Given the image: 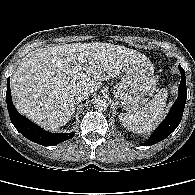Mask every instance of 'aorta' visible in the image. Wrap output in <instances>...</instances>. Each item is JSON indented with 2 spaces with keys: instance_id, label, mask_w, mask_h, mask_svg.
Returning a JSON list of instances; mask_svg holds the SVG:
<instances>
[{
  "instance_id": "1",
  "label": "aorta",
  "mask_w": 195,
  "mask_h": 195,
  "mask_svg": "<svg viewBox=\"0 0 195 195\" xmlns=\"http://www.w3.org/2000/svg\"><path fill=\"white\" fill-rule=\"evenodd\" d=\"M94 108L97 111H105L108 108V103L105 99H96L93 103Z\"/></svg>"
}]
</instances>
